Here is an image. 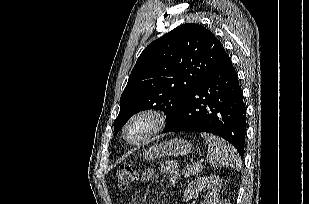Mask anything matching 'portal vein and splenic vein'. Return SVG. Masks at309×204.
Masks as SVG:
<instances>
[{"label": "portal vein and splenic vein", "mask_w": 309, "mask_h": 204, "mask_svg": "<svg viewBox=\"0 0 309 204\" xmlns=\"http://www.w3.org/2000/svg\"><path fill=\"white\" fill-rule=\"evenodd\" d=\"M203 162V160H200V164Z\"/></svg>", "instance_id": "obj_1"}]
</instances>
